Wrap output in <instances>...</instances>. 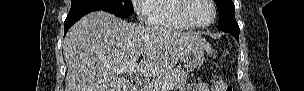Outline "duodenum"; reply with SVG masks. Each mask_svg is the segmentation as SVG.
<instances>
[{
	"label": "duodenum",
	"instance_id": "obj_1",
	"mask_svg": "<svg viewBox=\"0 0 304 91\" xmlns=\"http://www.w3.org/2000/svg\"><path fill=\"white\" fill-rule=\"evenodd\" d=\"M132 91H142L140 88H133Z\"/></svg>",
	"mask_w": 304,
	"mask_h": 91
}]
</instances>
